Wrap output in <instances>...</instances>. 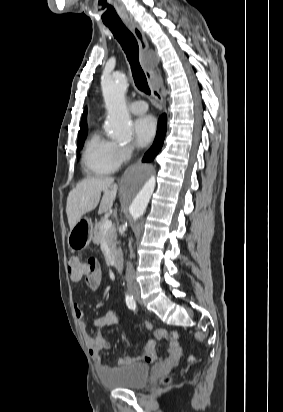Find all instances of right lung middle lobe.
<instances>
[{
	"label": "right lung middle lobe",
	"mask_w": 283,
	"mask_h": 412,
	"mask_svg": "<svg viewBox=\"0 0 283 412\" xmlns=\"http://www.w3.org/2000/svg\"><path fill=\"white\" fill-rule=\"evenodd\" d=\"M86 138V133L79 135V139H78V149H80L83 146L84 140Z\"/></svg>",
	"instance_id": "right-lung-middle-lobe-1"
}]
</instances>
